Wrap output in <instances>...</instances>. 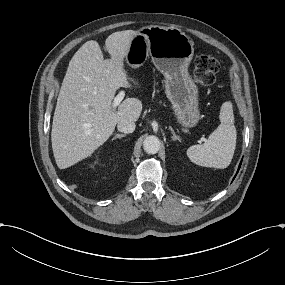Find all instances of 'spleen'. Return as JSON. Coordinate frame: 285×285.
<instances>
[{
  "label": "spleen",
  "mask_w": 285,
  "mask_h": 285,
  "mask_svg": "<svg viewBox=\"0 0 285 285\" xmlns=\"http://www.w3.org/2000/svg\"><path fill=\"white\" fill-rule=\"evenodd\" d=\"M221 124L214 130L204 145L190 146L186 152L195 165L225 169L229 166L236 145V128L233 124L232 105L226 102L220 111Z\"/></svg>",
  "instance_id": "spleen-1"
}]
</instances>
